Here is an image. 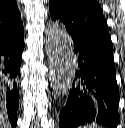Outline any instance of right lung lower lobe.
Here are the masks:
<instances>
[{
	"instance_id": "obj_1",
	"label": "right lung lower lobe",
	"mask_w": 125,
	"mask_h": 128,
	"mask_svg": "<svg viewBox=\"0 0 125 128\" xmlns=\"http://www.w3.org/2000/svg\"><path fill=\"white\" fill-rule=\"evenodd\" d=\"M24 50V30L19 29L0 36V87L6 95V110L11 126L17 124L19 106V69Z\"/></svg>"
}]
</instances>
